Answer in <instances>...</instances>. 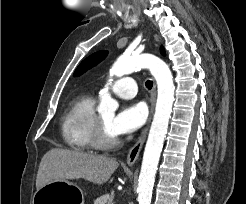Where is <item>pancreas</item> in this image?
Listing matches in <instances>:
<instances>
[{
	"mask_svg": "<svg viewBox=\"0 0 246 204\" xmlns=\"http://www.w3.org/2000/svg\"><path fill=\"white\" fill-rule=\"evenodd\" d=\"M112 196H110L108 193L98 197L94 204H111Z\"/></svg>",
	"mask_w": 246,
	"mask_h": 204,
	"instance_id": "pancreas-1",
	"label": "pancreas"
}]
</instances>
